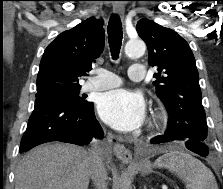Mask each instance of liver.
I'll use <instances>...</instances> for the list:
<instances>
[{
    "instance_id": "6515ba94",
    "label": "liver",
    "mask_w": 223,
    "mask_h": 189,
    "mask_svg": "<svg viewBox=\"0 0 223 189\" xmlns=\"http://www.w3.org/2000/svg\"><path fill=\"white\" fill-rule=\"evenodd\" d=\"M92 158L72 144H44L17 166L15 189H88Z\"/></svg>"
}]
</instances>
